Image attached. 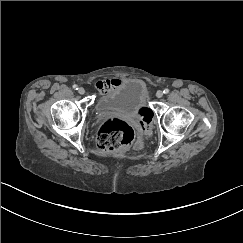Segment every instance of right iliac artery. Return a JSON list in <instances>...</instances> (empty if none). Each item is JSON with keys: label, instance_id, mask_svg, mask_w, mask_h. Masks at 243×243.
<instances>
[{"label": "right iliac artery", "instance_id": "82829eb1", "mask_svg": "<svg viewBox=\"0 0 243 243\" xmlns=\"http://www.w3.org/2000/svg\"><path fill=\"white\" fill-rule=\"evenodd\" d=\"M73 88L78 90V86L76 84L73 85Z\"/></svg>", "mask_w": 243, "mask_h": 243}]
</instances>
